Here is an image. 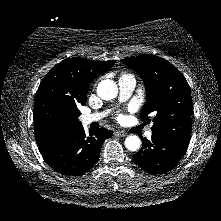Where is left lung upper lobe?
Here are the masks:
<instances>
[{"mask_svg":"<svg viewBox=\"0 0 221 221\" xmlns=\"http://www.w3.org/2000/svg\"><path fill=\"white\" fill-rule=\"evenodd\" d=\"M122 62L145 83L147 101L141 118L150 122L153 115V134L189 143L192 97L181 72L158 56L142 55L122 59Z\"/></svg>","mask_w":221,"mask_h":221,"instance_id":"left-lung-upper-lobe-1","label":"left lung upper lobe"}]
</instances>
